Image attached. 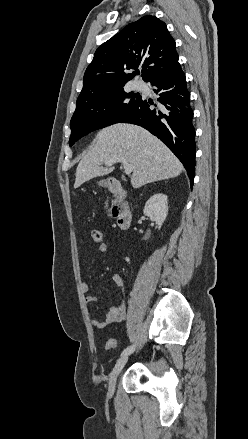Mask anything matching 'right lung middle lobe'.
Returning a JSON list of instances; mask_svg holds the SVG:
<instances>
[{"mask_svg": "<svg viewBox=\"0 0 248 439\" xmlns=\"http://www.w3.org/2000/svg\"><path fill=\"white\" fill-rule=\"evenodd\" d=\"M140 99L141 96L120 88L76 107L70 122L69 145L92 131L119 123Z\"/></svg>", "mask_w": 248, "mask_h": 439, "instance_id": "obj_1", "label": "right lung middle lobe"}]
</instances>
